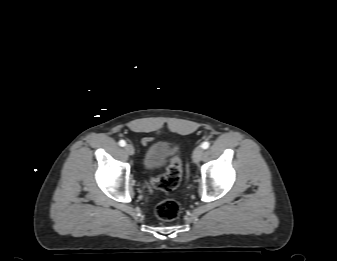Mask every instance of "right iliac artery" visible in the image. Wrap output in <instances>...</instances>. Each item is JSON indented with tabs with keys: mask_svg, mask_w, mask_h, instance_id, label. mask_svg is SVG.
<instances>
[{
	"mask_svg": "<svg viewBox=\"0 0 337 261\" xmlns=\"http://www.w3.org/2000/svg\"><path fill=\"white\" fill-rule=\"evenodd\" d=\"M119 145L122 146V147H124L126 145V142L124 140H120L119 141Z\"/></svg>",
	"mask_w": 337,
	"mask_h": 261,
	"instance_id": "82829eb1",
	"label": "right iliac artery"
}]
</instances>
